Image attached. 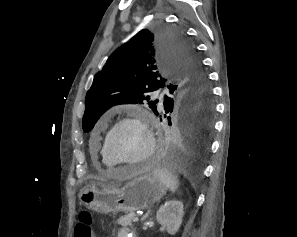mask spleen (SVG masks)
<instances>
[{"label":"spleen","mask_w":297,"mask_h":237,"mask_svg":"<svg viewBox=\"0 0 297 237\" xmlns=\"http://www.w3.org/2000/svg\"><path fill=\"white\" fill-rule=\"evenodd\" d=\"M154 174L169 188L172 192H175L179 186L178 177L166 169L158 168L154 171Z\"/></svg>","instance_id":"spleen-1"}]
</instances>
